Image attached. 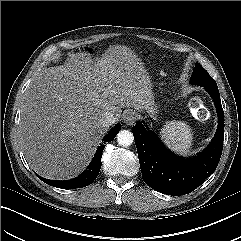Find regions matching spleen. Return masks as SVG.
I'll return each mask as SVG.
<instances>
[{"label":"spleen","instance_id":"spleen-1","mask_svg":"<svg viewBox=\"0 0 241 241\" xmlns=\"http://www.w3.org/2000/svg\"><path fill=\"white\" fill-rule=\"evenodd\" d=\"M163 143L173 152L187 156L192 146V133L190 127L182 121H170L160 131Z\"/></svg>","mask_w":241,"mask_h":241}]
</instances>
